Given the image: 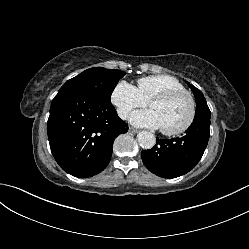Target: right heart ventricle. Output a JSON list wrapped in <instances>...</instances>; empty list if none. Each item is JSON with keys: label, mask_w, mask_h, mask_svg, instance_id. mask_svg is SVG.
I'll list each match as a JSON object with an SVG mask.
<instances>
[{"label": "right heart ventricle", "mask_w": 249, "mask_h": 249, "mask_svg": "<svg viewBox=\"0 0 249 249\" xmlns=\"http://www.w3.org/2000/svg\"><path fill=\"white\" fill-rule=\"evenodd\" d=\"M137 90L141 97L146 102H149L156 95L172 90H185V88L177 78L171 75L159 74L138 79Z\"/></svg>", "instance_id": "right-heart-ventricle-1"}]
</instances>
